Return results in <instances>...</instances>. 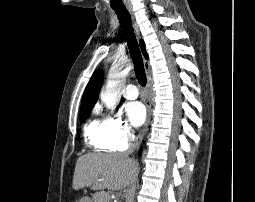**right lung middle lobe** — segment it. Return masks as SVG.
<instances>
[{"label": "right lung middle lobe", "instance_id": "dd1d6c3e", "mask_svg": "<svg viewBox=\"0 0 255 202\" xmlns=\"http://www.w3.org/2000/svg\"><path fill=\"white\" fill-rule=\"evenodd\" d=\"M93 107H84L81 108L80 111V120L83 121L84 119H86L90 113V111L92 110Z\"/></svg>", "mask_w": 255, "mask_h": 202}]
</instances>
